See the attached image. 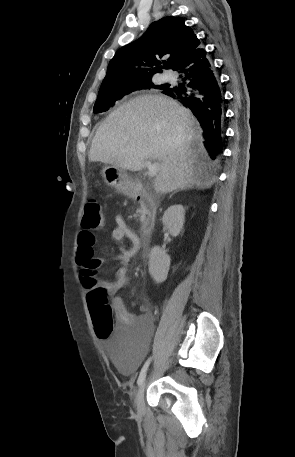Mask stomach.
I'll return each mask as SVG.
<instances>
[{"mask_svg":"<svg viewBox=\"0 0 295 457\" xmlns=\"http://www.w3.org/2000/svg\"><path fill=\"white\" fill-rule=\"evenodd\" d=\"M105 183L117 191L129 195L133 192L134 184L122 168L110 165L102 170Z\"/></svg>","mask_w":295,"mask_h":457,"instance_id":"obj_1","label":"stomach"}]
</instances>
